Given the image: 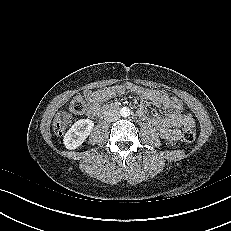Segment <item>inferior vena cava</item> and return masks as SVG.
<instances>
[{
    "instance_id": "inferior-vena-cava-1",
    "label": "inferior vena cava",
    "mask_w": 231,
    "mask_h": 231,
    "mask_svg": "<svg viewBox=\"0 0 231 231\" xmlns=\"http://www.w3.org/2000/svg\"><path fill=\"white\" fill-rule=\"evenodd\" d=\"M119 118H120V114L115 109H109L104 112V119L107 122H114V121H117Z\"/></svg>"
}]
</instances>
